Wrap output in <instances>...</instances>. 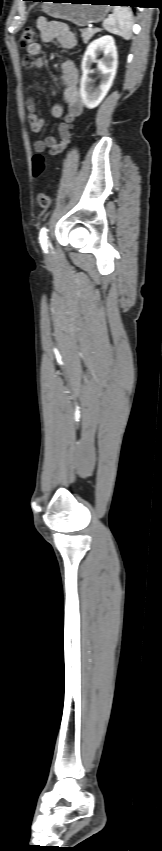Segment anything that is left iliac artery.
<instances>
[{
  "instance_id": "left-iliac-artery-1",
  "label": "left iliac artery",
  "mask_w": 162,
  "mask_h": 851,
  "mask_svg": "<svg viewBox=\"0 0 162 851\" xmlns=\"http://www.w3.org/2000/svg\"><path fill=\"white\" fill-rule=\"evenodd\" d=\"M40 244L45 252H47V229L43 227L39 234Z\"/></svg>"
}]
</instances>
